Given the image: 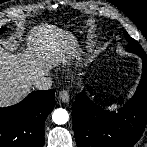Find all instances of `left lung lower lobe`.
<instances>
[{
	"instance_id": "1",
	"label": "left lung lower lobe",
	"mask_w": 147,
	"mask_h": 147,
	"mask_svg": "<svg viewBox=\"0 0 147 147\" xmlns=\"http://www.w3.org/2000/svg\"><path fill=\"white\" fill-rule=\"evenodd\" d=\"M143 71L135 95L118 112L103 110L84 92L72 105L74 134L78 147H131L147 123V56H140Z\"/></svg>"
}]
</instances>
